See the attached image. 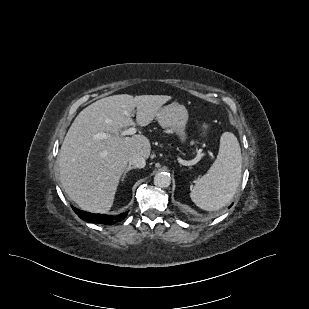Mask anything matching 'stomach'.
<instances>
[{
    "instance_id": "stomach-1",
    "label": "stomach",
    "mask_w": 309,
    "mask_h": 309,
    "mask_svg": "<svg viewBox=\"0 0 309 309\" xmlns=\"http://www.w3.org/2000/svg\"><path fill=\"white\" fill-rule=\"evenodd\" d=\"M156 118L162 127H168L178 136L181 143H185L188 136L186 125L188 122V111L185 106L172 103L161 108Z\"/></svg>"
}]
</instances>
